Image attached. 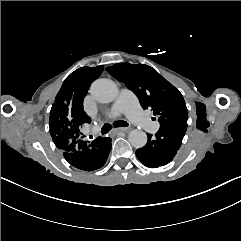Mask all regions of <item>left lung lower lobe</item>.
<instances>
[{"instance_id": "1", "label": "left lung lower lobe", "mask_w": 241, "mask_h": 241, "mask_svg": "<svg viewBox=\"0 0 241 241\" xmlns=\"http://www.w3.org/2000/svg\"><path fill=\"white\" fill-rule=\"evenodd\" d=\"M187 129L183 125H162L152 137L148 135L147 144L136 151L137 158L149 168H157L171 162L181 146Z\"/></svg>"}]
</instances>
